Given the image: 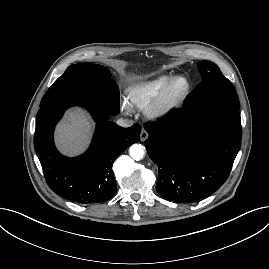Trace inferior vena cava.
<instances>
[{"mask_svg":"<svg viewBox=\"0 0 269 269\" xmlns=\"http://www.w3.org/2000/svg\"><path fill=\"white\" fill-rule=\"evenodd\" d=\"M117 124L119 125V126H121V127H130V126H132V124H133V121L132 120H130V119H123V118H119L118 120H117Z\"/></svg>","mask_w":269,"mask_h":269,"instance_id":"inferior-vena-cava-1","label":"inferior vena cava"}]
</instances>
